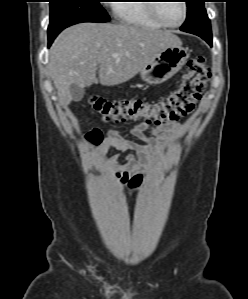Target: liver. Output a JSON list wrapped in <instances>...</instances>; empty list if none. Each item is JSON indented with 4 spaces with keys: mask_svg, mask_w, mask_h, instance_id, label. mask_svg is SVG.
Masks as SVG:
<instances>
[{
    "mask_svg": "<svg viewBox=\"0 0 248 299\" xmlns=\"http://www.w3.org/2000/svg\"><path fill=\"white\" fill-rule=\"evenodd\" d=\"M181 40L168 30L134 25L81 23L64 30L50 49L48 68L58 92L59 103L73 100L70 86H91L100 81L112 86L124 83ZM99 67V79L96 70Z\"/></svg>",
    "mask_w": 248,
    "mask_h": 299,
    "instance_id": "6515ba94",
    "label": "liver"
}]
</instances>
